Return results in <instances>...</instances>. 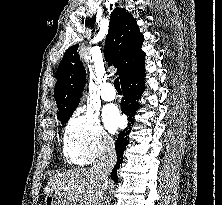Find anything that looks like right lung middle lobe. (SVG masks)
Segmentation results:
<instances>
[{
  "instance_id": "1",
  "label": "right lung middle lobe",
  "mask_w": 222,
  "mask_h": 205,
  "mask_svg": "<svg viewBox=\"0 0 222 205\" xmlns=\"http://www.w3.org/2000/svg\"><path fill=\"white\" fill-rule=\"evenodd\" d=\"M69 117L68 118H64V119H60L59 121H61L62 124L66 123L68 121Z\"/></svg>"
}]
</instances>
